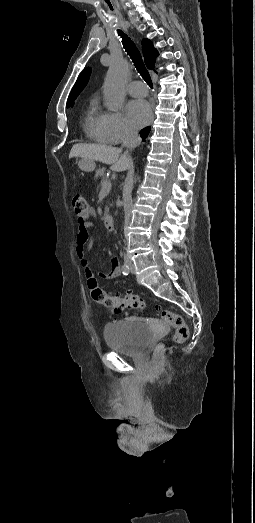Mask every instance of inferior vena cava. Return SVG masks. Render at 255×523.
<instances>
[{
    "label": "inferior vena cava",
    "mask_w": 255,
    "mask_h": 523,
    "mask_svg": "<svg viewBox=\"0 0 255 523\" xmlns=\"http://www.w3.org/2000/svg\"><path fill=\"white\" fill-rule=\"evenodd\" d=\"M138 144H140L138 132H136V130H132V128H127L123 146H125V148H136Z\"/></svg>",
    "instance_id": "602c4592"
}]
</instances>
